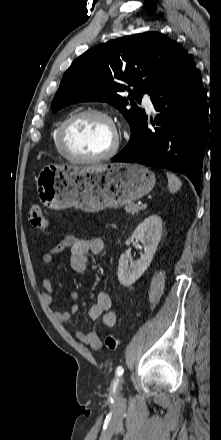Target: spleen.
<instances>
[{
    "label": "spleen",
    "instance_id": "1",
    "mask_svg": "<svg viewBox=\"0 0 221 440\" xmlns=\"http://www.w3.org/2000/svg\"><path fill=\"white\" fill-rule=\"evenodd\" d=\"M166 174L168 178V188L170 193L177 192L181 188L182 182L175 174L171 172H167Z\"/></svg>",
    "mask_w": 221,
    "mask_h": 440
}]
</instances>
